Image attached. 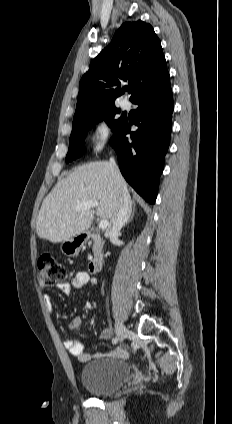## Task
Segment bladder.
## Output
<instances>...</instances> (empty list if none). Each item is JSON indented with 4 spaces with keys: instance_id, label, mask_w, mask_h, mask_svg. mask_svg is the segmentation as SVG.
Here are the masks:
<instances>
[{
    "instance_id": "31cf9c89",
    "label": "bladder",
    "mask_w": 232,
    "mask_h": 424,
    "mask_svg": "<svg viewBox=\"0 0 232 424\" xmlns=\"http://www.w3.org/2000/svg\"><path fill=\"white\" fill-rule=\"evenodd\" d=\"M130 376L127 362L115 358H100L86 363L81 370L83 387L96 396L117 392Z\"/></svg>"
}]
</instances>
